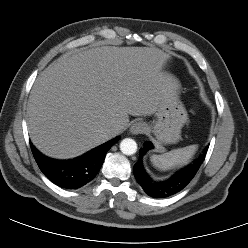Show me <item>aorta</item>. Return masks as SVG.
<instances>
[{"mask_svg": "<svg viewBox=\"0 0 248 248\" xmlns=\"http://www.w3.org/2000/svg\"><path fill=\"white\" fill-rule=\"evenodd\" d=\"M120 150L125 155H133L137 151V143L131 138H125L120 143Z\"/></svg>", "mask_w": 248, "mask_h": 248, "instance_id": "aorta-1", "label": "aorta"}]
</instances>
